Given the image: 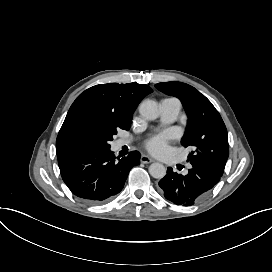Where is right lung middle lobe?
Listing matches in <instances>:
<instances>
[{
  "label": "right lung middle lobe",
  "instance_id": "1",
  "mask_svg": "<svg viewBox=\"0 0 272 272\" xmlns=\"http://www.w3.org/2000/svg\"><path fill=\"white\" fill-rule=\"evenodd\" d=\"M116 133L117 128L114 126L101 127L87 123L80 131L79 145L76 150L109 149V142L113 140L112 136Z\"/></svg>",
  "mask_w": 272,
  "mask_h": 272
}]
</instances>
